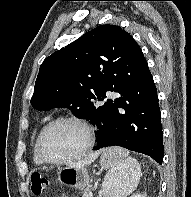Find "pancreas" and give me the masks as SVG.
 I'll return each instance as SVG.
<instances>
[{"instance_id":"cf45deb5","label":"pancreas","mask_w":191,"mask_h":197,"mask_svg":"<svg viewBox=\"0 0 191 197\" xmlns=\"http://www.w3.org/2000/svg\"><path fill=\"white\" fill-rule=\"evenodd\" d=\"M82 197H92V196H91V194L87 190H85L83 192V196Z\"/></svg>"}]
</instances>
